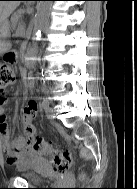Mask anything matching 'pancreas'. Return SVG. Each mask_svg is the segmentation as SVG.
Returning a JSON list of instances; mask_svg holds the SVG:
<instances>
[{"label":"pancreas","mask_w":137,"mask_h":189,"mask_svg":"<svg viewBox=\"0 0 137 189\" xmlns=\"http://www.w3.org/2000/svg\"><path fill=\"white\" fill-rule=\"evenodd\" d=\"M22 14H23L22 10H18L12 15L11 22H12L13 29L16 27L17 24L19 26L21 25Z\"/></svg>","instance_id":"obj_1"}]
</instances>
